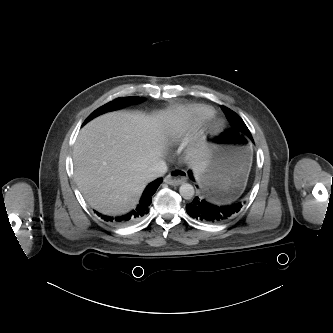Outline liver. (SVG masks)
I'll use <instances>...</instances> for the list:
<instances>
[{
	"mask_svg": "<svg viewBox=\"0 0 333 333\" xmlns=\"http://www.w3.org/2000/svg\"><path fill=\"white\" fill-rule=\"evenodd\" d=\"M161 121L139 112H112L81 129L73 149L74 177L92 208L116 215L135 207L149 182L146 170L165 149ZM189 163L197 176L205 154H192Z\"/></svg>",
	"mask_w": 333,
	"mask_h": 333,
	"instance_id": "obj_1",
	"label": "liver"
}]
</instances>
